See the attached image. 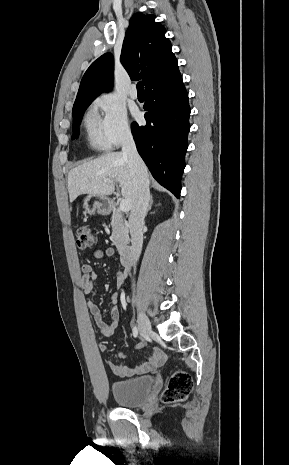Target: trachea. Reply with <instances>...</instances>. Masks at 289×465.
Listing matches in <instances>:
<instances>
[{
    "label": "trachea",
    "mask_w": 289,
    "mask_h": 465,
    "mask_svg": "<svg viewBox=\"0 0 289 465\" xmlns=\"http://www.w3.org/2000/svg\"><path fill=\"white\" fill-rule=\"evenodd\" d=\"M137 90H138V92H144V84H143L142 81H139L137 83Z\"/></svg>",
    "instance_id": "3493384b"
}]
</instances>
